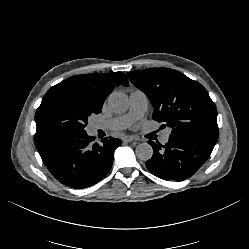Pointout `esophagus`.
Listing matches in <instances>:
<instances>
[{
    "label": "esophagus",
    "mask_w": 249,
    "mask_h": 249,
    "mask_svg": "<svg viewBox=\"0 0 249 249\" xmlns=\"http://www.w3.org/2000/svg\"><path fill=\"white\" fill-rule=\"evenodd\" d=\"M134 140V137L131 135H125L122 137L123 142H132Z\"/></svg>",
    "instance_id": "34e87169"
}]
</instances>
